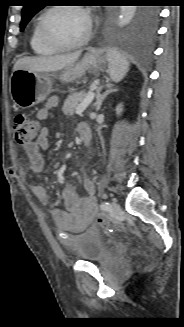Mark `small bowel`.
I'll return each instance as SVG.
<instances>
[{
	"label": "small bowel",
	"mask_w": 184,
	"mask_h": 327,
	"mask_svg": "<svg viewBox=\"0 0 184 327\" xmlns=\"http://www.w3.org/2000/svg\"><path fill=\"white\" fill-rule=\"evenodd\" d=\"M57 105L58 99L56 97L50 98L45 106L37 112L36 118L38 120H45L51 117L52 109ZM78 132H80V125L78 126ZM49 134V129L43 127L35 141L25 146L24 150L30 163V169L34 174H39L44 169L43 152L49 146ZM82 185L83 189L89 194L88 197L80 196L74 185L67 184L62 190L64 208H53L51 210L56 226L63 231L71 233L82 232L96 216L95 184L91 179H84ZM31 190L40 203L47 204L49 202V195L41 184L33 183Z\"/></svg>",
	"instance_id": "obj_1"
}]
</instances>
